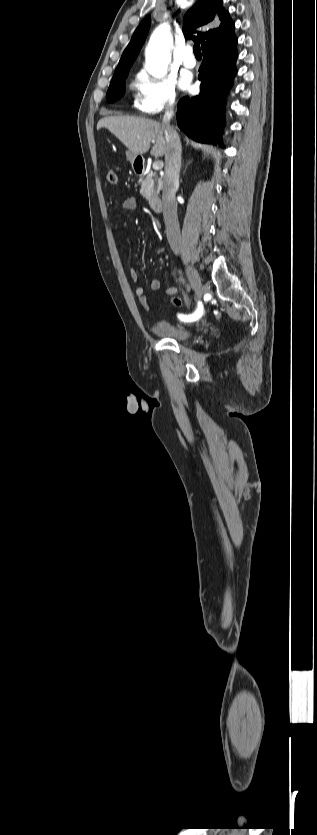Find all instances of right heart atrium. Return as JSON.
Returning <instances> with one entry per match:
<instances>
[{
    "label": "right heart atrium",
    "mask_w": 317,
    "mask_h": 835,
    "mask_svg": "<svg viewBox=\"0 0 317 835\" xmlns=\"http://www.w3.org/2000/svg\"><path fill=\"white\" fill-rule=\"evenodd\" d=\"M135 88L138 92L136 108L145 115H157L176 105V83L172 77L156 78L141 71L136 76Z\"/></svg>",
    "instance_id": "1"
}]
</instances>
